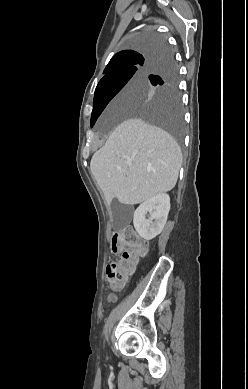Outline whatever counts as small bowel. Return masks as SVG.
Here are the masks:
<instances>
[{"mask_svg":"<svg viewBox=\"0 0 248 389\" xmlns=\"http://www.w3.org/2000/svg\"><path fill=\"white\" fill-rule=\"evenodd\" d=\"M116 299H117V297H116L115 294H110V295L108 296V300H109L110 302H115Z\"/></svg>","mask_w":248,"mask_h":389,"instance_id":"1","label":"small bowel"}]
</instances>
